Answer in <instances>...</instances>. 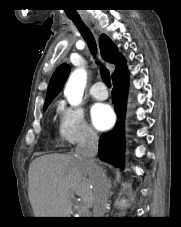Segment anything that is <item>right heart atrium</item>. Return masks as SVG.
Returning a JSON list of instances; mask_svg holds the SVG:
<instances>
[{
	"instance_id": "d8ad5b80",
	"label": "right heart atrium",
	"mask_w": 181,
	"mask_h": 227,
	"mask_svg": "<svg viewBox=\"0 0 181 227\" xmlns=\"http://www.w3.org/2000/svg\"><path fill=\"white\" fill-rule=\"evenodd\" d=\"M60 114L59 134L69 145L93 143L98 139L96 131L86 121L79 107L68 106L63 101L58 105Z\"/></svg>"
}]
</instances>
